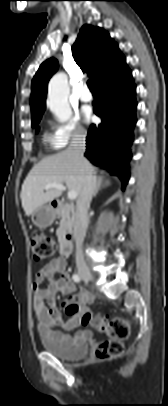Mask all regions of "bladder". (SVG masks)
Wrapping results in <instances>:
<instances>
[{
	"label": "bladder",
	"instance_id": "obj_1",
	"mask_svg": "<svg viewBox=\"0 0 168 406\" xmlns=\"http://www.w3.org/2000/svg\"><path fill=\"white\" fill-rule=\"evenodd\" d=\"M41 343L46 352L64 360H77L83 358L88 353V345L85 342L74 343L66 346L42 337Z\"/></svg>",
	"mask_w": 168,
	"mask_h": 406
}]
</instances>
